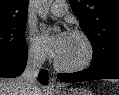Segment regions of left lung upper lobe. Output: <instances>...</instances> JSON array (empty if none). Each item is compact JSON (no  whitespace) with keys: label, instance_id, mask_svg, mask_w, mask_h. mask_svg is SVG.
Returning <instances> with one entry per match:
<instances>
[{"label":"left lung upper lobe","instance_id":"5c2ea615","mask_svg":"<svg viewBox=\"0 0 119 95\" xmlns=\"http://www.w3.org/2000/svg\"><path fill=\"white\" fill-rule=\"evenodd\" d=\"M93 46L92 66L101 68L119 55V0H69Z\"/></svg>","mask_w":119,"mask_h":95}]
</instances>
